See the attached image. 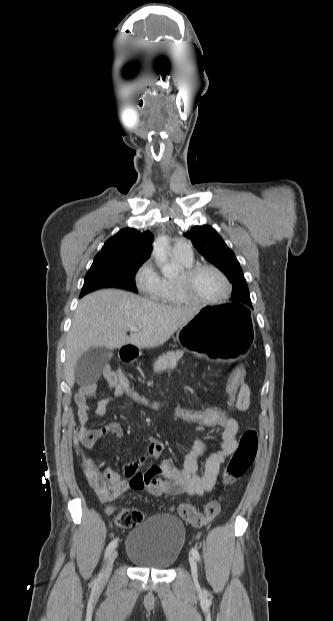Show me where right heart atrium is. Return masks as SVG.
Listing matches in <instances>:
<instances>
[{"instance_id":"right-heart-atrium-1","label":"right heart atrium","mask_w":333,"mask_h":621,"mask_svg":"<svg viewBox=\"0 0 333 621\" xmlns=\"http://www.w3.org/2000/svg\"><path fill=\"white\" fill-rule=\"evenodd\" d=\"M136 286L139 291L154 298L161 286V277L154 269L150 261L145 262L135 276Z\"/></svg>"}]
</instances>
